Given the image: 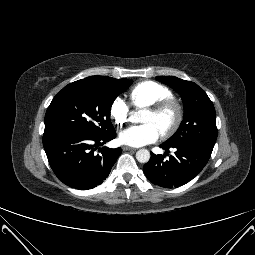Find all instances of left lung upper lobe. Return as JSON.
Instances as JSON below:
<instances>
[{
    "instance_id": "5c2ea615",
    "label": "left lung upper lobe",
    "mask_w": 255,
    "mask_h": 255,
    "mask_svg": "<svg viewBox=\"0 0 255 255\" xmlns=\"http://www.w3.org/2000/svg\"><path fill=\"white\" fill-rule=\"evenodd\" d=\"M175 89L184 104V119L165 144L169 146L201 145L213 149L217 139L216 114L212 101L194 82L174 76L156 77Z\"/></svg>"
}]
</instances>
